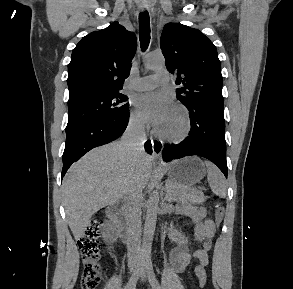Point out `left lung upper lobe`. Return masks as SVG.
Returning <instances> with one entry per match:
<instances>
[{
	"instance_id": "5c2ea615",
	"label": "left lung upper lobe",
	"mask_w": 293,
	"mask_h": 289,
	"mask_svg": "<svg viewBox=\"0 0 293 289\" xmlns=\"http://www.w3.org/2000/svg\"><path fill=\"white\" fill-rule=\"evenodd\" d=\"M160 47L167 70L177 73V98L187 109L201 104L223 109L221 64L208 37L186 25L167 23Z\"/></svg>"
}]
</instances>
